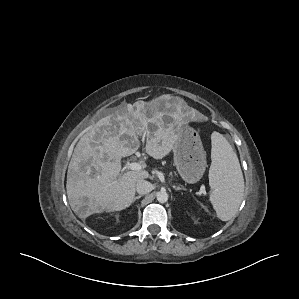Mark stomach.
<instances>
[{
	"label": "stomach",
	"mask_w": 299,
	"mask_h": 299,
	"mask_svg": "<svg viewBox=\"0 0 299 299\" xmlns=\"http://www.w3.org/2000/svg\"><path fill=\"white\" fill-rule=\"evenodd\" d=\"M174 164L184 181L193 184L198 182L207 167L199 133L188 125H182L175 130Z\"/></svg>",
	"instance_id": "stomach-1"
}]
</instances>
